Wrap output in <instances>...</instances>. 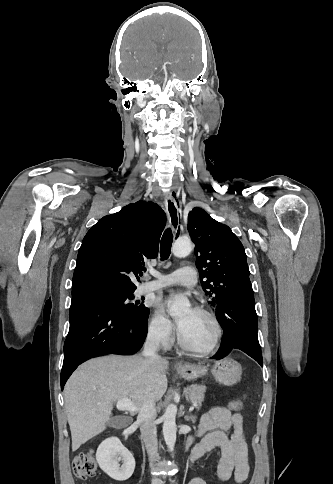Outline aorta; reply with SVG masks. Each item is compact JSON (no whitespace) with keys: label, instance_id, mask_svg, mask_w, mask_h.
I'll return each instance as SVG.
<instances>
[{"label":"aorta","instance_id":"762f6f07","mask_svg":"<svg viewBox=\"0 0 333 484\" xmlns=\"http://www.w3.org/2000/svg\"><path fill=\"white\" fill-rule=\"evenodd\" d=\"M193 247L191 241L188 239H177L172 245V252L176 257L182 258L188 256ZM190 302L187 297L175 296L169 308L171 316H179L182 312L187 310ZM176 413L177 406L174 404L168 405L163 415V436L169 451L174 450L176 443Z\"/></svg>","mask_w":333,"mask_h":484}]
</instances>
